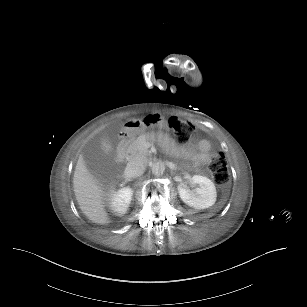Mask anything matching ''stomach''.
<instances>
[{
    "instance_id": "obj_1",
    "label": "stomach",
    "mask_w": 307,
    "mask_h": 307,
    "mask_svg": "<svg viewBox=\"0 0 307 307\" xmlns=\"http://www.w3.org/2000/svg\"><path fill=\"white\" fill-rule=\"evenodd\" d=\"M167 122L160 115H152L143 119H132L129 121V128L134 133H142L147 128L158 127L160 129L165 128Z\"/></svg>"
}]
</instances>
